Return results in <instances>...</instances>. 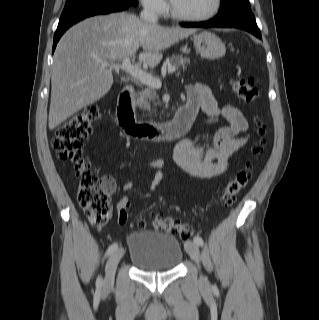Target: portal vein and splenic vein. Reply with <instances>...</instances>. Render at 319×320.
Segmentation results:
<instances>
[{
	"mask_svg": "<svg viewBox=\"0 0 319 320\" xmlns=\"http://www.w3.org/2000/svg\"><path fill=\"white\" fill-rule=\"evenodd\" d=\"M103 66L109 67L111 69H115V71L124 70L131 76L138 79L140 82L148 85L152 88H160L162 83L159 79L153 77L152 75L143 71L139 66L132 65L130 58L126 57L123 59L122 64H114V63H102ZM168 74H171L176 71V68L173 66L168 67Z\"/></svg>",
	"mask_w": 319,
	"mask_h": 320,
	"instance_id": "obj_1",
	"label": "portal vein and splenic vein"
}]
</instances>
